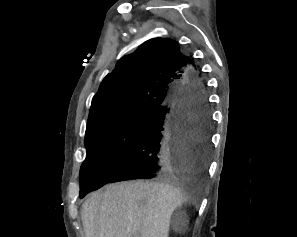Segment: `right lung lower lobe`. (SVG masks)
Segmentation results:
<instances>
[{"instance_id":"1","label":"right lung lower lobe","mask_w":297,"mask_h":237,"mask_svg":"<svg viewBox=\"0 0 297 237\" xmlns=\"http://www.w3.org/2000/svg\"><path fill=\"white\" fill-rule=\"evenodd\" d=\"M210 122L205 88L193 65L189 81L175 87L169 102L151 113L102 186L202 173L209 162Z\"/></svg>"}]
</instances>
